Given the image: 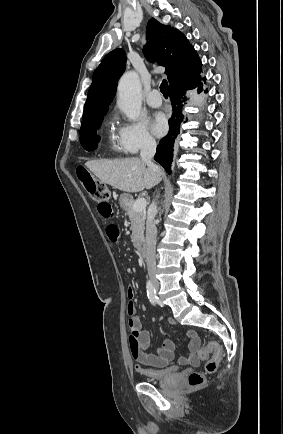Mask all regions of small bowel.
I'll use <instances>...</instances> for the list:
<instances>
[{
	"mask_svg": "<svg viewBox=\"0 0 283 434\" xmlns=\"http://www.w3.org/2000/svg\"><path fill=\"white\" fill-rule=\"evenodd\" d=\"M98 213L104 219H112L115 211L111 203L102 202L98 204ZM106 234L109 241L115 243L119 239V230L115 225H109L106 228ZM127 296L130 299L128 304V326L130 330L129 347L132 357L139 363L137 370L140 371L145 367H164L174 359L175 344L172 340H165L158 348L156 354L147 353L150 346V335L148 331L143 329L136 313V307L133 302L134 291L129 288ZM169 324L176 325L174 320H169ZM188 339L189 356L179 357L178 363L181 365L190 364L198 365L199 359L197 357V350L200 344L199 337L194 330H188L185 333Z\"/></svg>",
	"mask_w": 283,
	"mask_h": 434,
	"instance_id": "obj_1",
	"label": "small bowel"
}]
</instances>
